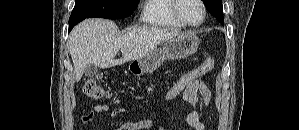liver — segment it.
Segmentation results:
<instances>
[{"label":"liver","mask_w":299,"mask_h":130,"mask_svg":"<svg viewBox=\"0 0 299 130\" xmlns=\"http://www.w3.org/2000/svg\"><path fill=\"white\" fill-rule=\"evenodd\" d=\"M181 34L178 30L135 27L119 34L117 25L106 19H86L71 31L68 41L75 78L79 81L88 64L102 69L142 58L161 42ZM122 58L114 59L118 51Z\"/></svg>","instance_id":"liver-1"}]
</instances>
